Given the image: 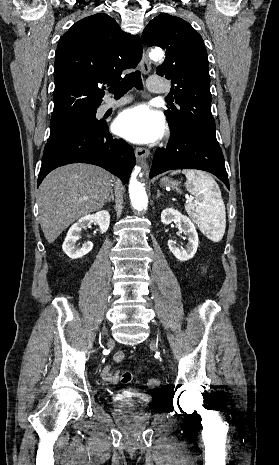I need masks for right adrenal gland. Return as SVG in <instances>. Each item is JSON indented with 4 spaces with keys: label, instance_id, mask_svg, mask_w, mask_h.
<instances>
[{
    "label": "right adrenal gland",
    "instance_id": "2a0ac1e0",
    "mask_svg": "<svg viewBox=\"0 0 279 465\" xmlns=\"http://www.w3.org/2000/svg\"><path fill=\"white\" fill-rule=\"evenodd\" d=\"M111 195L109 196V198L107 199L106 202H110L111 200L113 201L114 200V194H113V190L111 189Z\"/></svg>",
    "mask_w": 279,
    "mask_h": 465
}]
</instances>
